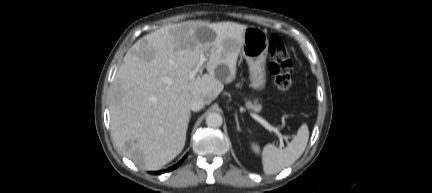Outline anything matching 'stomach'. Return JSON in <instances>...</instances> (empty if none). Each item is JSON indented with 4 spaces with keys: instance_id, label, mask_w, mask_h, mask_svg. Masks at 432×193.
Wrapping results in <instances>:
<instances>
[{
    "instance_id": "stomach-1",
    "label": "stomach",
    "mask_w": 432,
    "mask_h": 193,
    "mask_svg": "<svg viewBox=\"0 0 432 193\" xmlns=\"http://www.w3.org/2000/svg\"><path fill=\"white\" fill-rule=\"evenodd\" d=\"M269 39L265 30L248 27L243 34L241 53L249 67V79L254 89L262 90L266 86V58Z\"/></svg>"
}]
</instances>
